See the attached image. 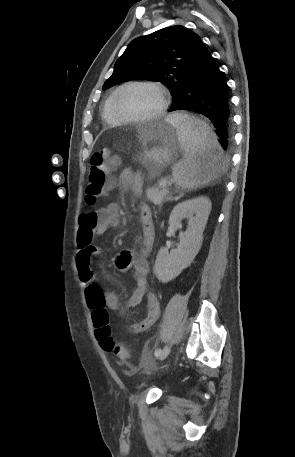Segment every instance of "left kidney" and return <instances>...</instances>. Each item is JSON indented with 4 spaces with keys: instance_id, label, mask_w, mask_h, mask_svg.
Masks as SVG:
<instances>
[{
    "instance_id": "obj_1",
    "label": "left kidney",
    "mask_w": 295,
    "mask_h": 457,
    "mask_svg": "<svg viewBox=\"0 0 295 457\" xmlns=\"http://www.w3.org/2000/svg\"><path fill=\"white\" fill-rule=\"evenodd\" d=\"M211 211V202L206 197H197L177 204L169 217V225L174 229L182 226V220L188 218L185 232L179 233L177 249L169 252L167 247L159 250L154 265V273L159 281L167 283L176 278L190 266L198 254L203 241V231Z\"/></svg>"
}]
</instances>
